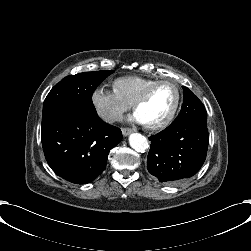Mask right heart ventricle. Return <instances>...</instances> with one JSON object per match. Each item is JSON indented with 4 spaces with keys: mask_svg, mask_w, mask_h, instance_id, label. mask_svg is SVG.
<instances>
[{
    "mask_svg": "<svg viewBox=\"0 0 251 251\" xmlns=\"http://www.w3.org/2000/svg\"><path fill=\"white\" fill-rule=\"evenodd\" d=\"M156 79L143 75H128L113 80L114 92L125 102L134 105L143 91Z\"/></svg>",
    "mask_w": 251,
    "mask_h": 251,
    "instance_id": "obj_1",
    "label": "right heart ventricle"
}]
</instances>
